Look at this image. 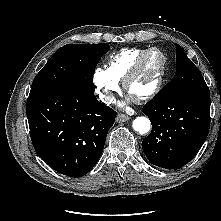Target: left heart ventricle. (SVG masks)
I'll return each mask as SVG.
<instances>
[{
    "label": "left heart ventricle",
    "instance_id": "left-heart-ventricle-1",
    "mask_svg": "<svg viewBox=\"0 0 221 221\" xmlns=\"http://www.w3.org/2000/svg\"><path fill=\"white\" fill-rule=\"evenodd\" d=\"M161 64L162 58L158 52H153L147 57L142 69L130 84L129 93L131 96H140L153 87Z\"/></svg>",
    "mask_w": 221,
    "mask_h": 221
}]
</instances>
